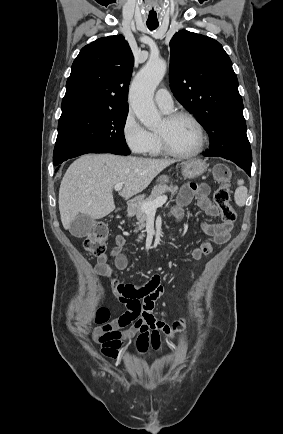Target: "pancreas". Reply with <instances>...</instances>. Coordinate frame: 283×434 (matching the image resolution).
Listing matches in <instances>:
<instances>
[{
	"label": "pancreas",
	"mask_w": 283,
	"mask_h": 434,
	"mask_svg": "<svg viewBox=\"0 0 283 434\" xmlns=\"http://www.w3.org/2000/svg\"><path fill=\"white\" fill-rule=\"evenodd\" d=\"M178 191V187L177 186H173V185H158L156 187H154V189L151 192V195L144 199L142 202L138 203V205L136 207H128V213L129 215H135L138 222V229H136V231L141 230L142 228L145 227V222L147 219V214L142 210V205L146 202H152L154 200H156L157 198L161 197L164 193L166 192H170L171 196L173 197ZM143 238V235L139 236L138 241H140Z\"/></svg>",
	"instance_id": "obj_1"
}]
</instances>
